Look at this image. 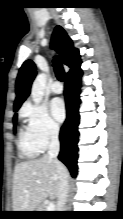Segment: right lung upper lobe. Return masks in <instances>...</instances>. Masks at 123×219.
Listing matches in <instances>:
<instances>
[{
  "mask_svg": "<svg viewBox=\"0 0 123 219\" xmlns=\"http://www.w3.org/2000/svg\"><path fill=\"white\" fill-rule=\"evenodd\" d=\"M52 42L56 50L59 51L63 63L71 68L69 73L81 64L79 50L73 47L71 39L62 27L57 26L55 28ZM35 76L36 66L34 62L32 60L25 61L19 70L16 80L14 111H17L29 96L31 84Z\"/></svg>",
  "mask_w": 123,
  "mask_h": 219,
  "instance_id": "right-lung-upper-lobe-1",
  "label": "right lung upper lobe"
}]
</instances>
